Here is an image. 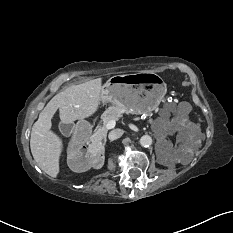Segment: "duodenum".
I'll return each instance as SVG.
<instances>
[{"label": "duodenum", "mask_w": 233, "mask_h": 233, "mask_svg": "<svg viewBox=\"0 0 233 233\" xmlns=\"http://www.w3.org/2000/svg\"><path fill=\"white\" fill-rule=\"evenodd\" d=\"M91 139V131L89 127L83 123L79 124L74 133L75 141H87Z\"/></svg>", "instance_id": "duodenum-1"}]
</instances>
